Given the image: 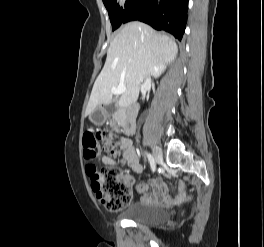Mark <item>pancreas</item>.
I'll list each match as a JSON object with an SVG mask.
<instances>
[{
	"label": "pancreas",
	"instance_id": "cf45deb5",
	"mask_svg": "<svg viewBox=\"0 0 264 247\" xmlns=\"http://www.w3.org/2000/svg\"><path fill=\"white\" fill-rule=\"evenodd\" d=\"M117 121L120 120V114L118 112H116L113 116Z\"/></svg>",
	"mask_w": 264,
	"mask_h": 247
}]
</instances>
